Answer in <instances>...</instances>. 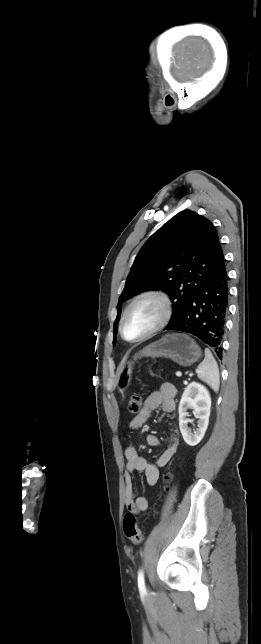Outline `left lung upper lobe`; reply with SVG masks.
Here are the masks:
<instances>
[{
	"label": "left lung upper lobe",
	"mask_w": 261,
	"mask_h": 644,
	"mask_svg": "<svg viewBox=\"0 0 261 644\" xmlns=\"http://www.w3.org/2000/svg\"><path fill=\"white\" fill-rule=\"evenodd\" d=\"M222 256L215 226L195 212H179L148 239L136 256L119 299L115 328L122 302L147 290L161 289L170 295V323L174 322Z\"/></svg>",
	"instance_id": "1"
}]
</instances>
